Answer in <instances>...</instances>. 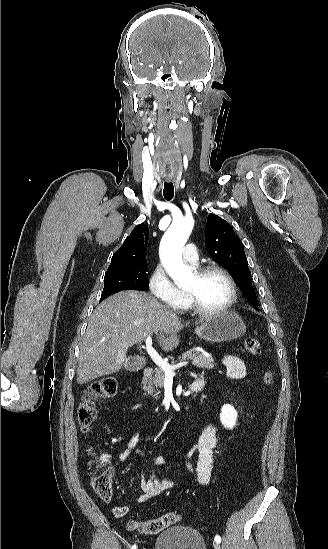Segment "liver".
Segmentation results:
<instances>
[{
  "mask_svg": "<svg viewBox=\"0 0 328 549\" xmlns=\"http://www.w3.org/2000/svg\"><path fill=\"white\" fill-rule=\"evenodd\" d=\"M203 323L202 319L194 325ZM179 317L167 305L143 291H121L96 307L80 343L77 383L85 385L103 375H113L127 365L129 347L158 335L163 351L179 345ZM187 327V325H186Z\"/></svg>",
  "mask_w": 328,
  "mask_h": 549,
  "instance_id": "liver-1",
  "label": "liver"
}]
</instances>
